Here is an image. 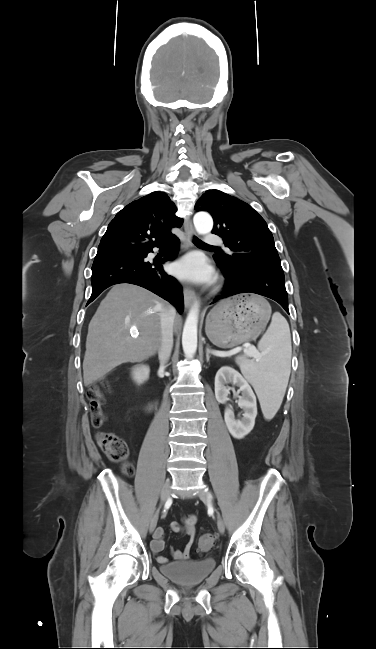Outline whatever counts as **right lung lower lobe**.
<instances>
[{
    "instance_id": "right-lung-lower-lobe-1",
    "label": "right lung lower lobe",
    "mask_w": 376,
    "mask_h": 649,
    "mask_svg": "<svg viewBox=\"0 0 376 649\" xmlns=\"http://www.w3.org/2000/svg\"><path fill=\"white\" fill-rule=\"evenodd\" d=\"M172 242L171 248L179 244L176 236L167 240ZM166 242V241H165ZM165 242L153 247L162 248ZM153 247L132 256L113 255L95 259L92 266V295L88 303L111 285L131 283L144 287L173 304L179 313L183 311L184 300L182 288L177 280L168 275L162 268L167 260H172L177 254V248L169 251L163 260L149 262L145 258Z\"/></svg>"
}]
</instances>
